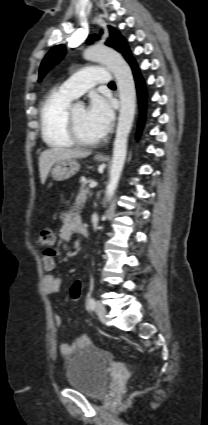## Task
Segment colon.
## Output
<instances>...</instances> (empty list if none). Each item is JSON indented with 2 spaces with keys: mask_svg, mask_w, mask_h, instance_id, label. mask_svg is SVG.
Masks as SVG:
<instances>
[{
  "mask_svg": "<svg viewBox=\"0 0 208 425\" xmlns=\"http://www.w3.org/2000/svg\"><path fill=\"white\" fill-rule=\"evenodd\" d=\"M56 236L51 228H44L41 230L37 244L41 248H44L46 252H52V248L55 245ZM82 283L80 280H76L70 288V296L73 300L77 301L81 297Z\"/></svg>",
  "mask_w": 208,
  "mask_h": 425,
  "instance_id": "5ec220e1",
  "label": "colon"
}]
</instances>
